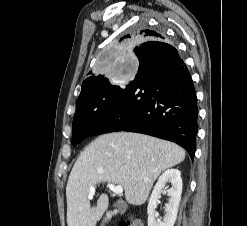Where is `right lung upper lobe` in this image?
<instances>
[{"instance_id": "cb5924a9", "label": "right lung upper lobe", "mask_w": 247, "mask_h": 226, "mask_svg": "<svg viewBox=\"0 0 247 226\" xmlns=\"http://www.w3.org/2000/svg\"><path fill=\"white\" fill-rule=\"evenodd\" d=\"M131 38H137L139 40H145L146 42H151V41H163L164 36L154 30L144 28L140 30L138 33L125 35L123 38H121V40L131 39ZM100 81L101 79L98 76H94V75L85 79L82 84L80 95L92 90L94 87H96L99 84Z\"/></svg>"}]
</instances>
